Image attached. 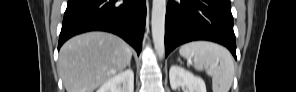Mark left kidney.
Masks as SVG:
<instances>
[{"label":"left kidney","mask_w":296,"mask_h":92,"mask_svg":"<svg viewBox=\"0 0 296 92\" xmlns=\"http://www.w3.org/2000/svg\"><path fill=\"white\" fill-rule=\"evenodd\" d=\"M169 79L173 90L186 86L189 92H206L203 79L193 75L183 67L172 65L169 71Z\"/></svg>","instance_id":"left-kidney-1"}]
</instances>
